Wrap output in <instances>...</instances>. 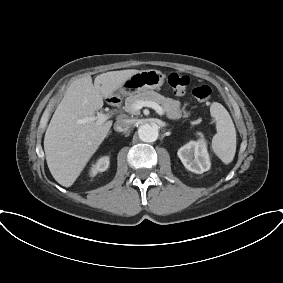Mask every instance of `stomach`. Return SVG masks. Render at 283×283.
<instances>
[{"label": "stomach", "mask_w": 283, "mask_h": 283, "mask_svg": "<svg viewBox=\"0 0 283 283\" xmlns=\"http://www.w3.org/2000/svg\"><path fill=\"white\" fill-rule=\"evenodd\" d=\"M164 79L165 75L159 70H142L134 74L121 86V92L134 94L144 90L159 89L163 85Z\"/></svg>", "instance_id": "obj_1"}]
</instances>
